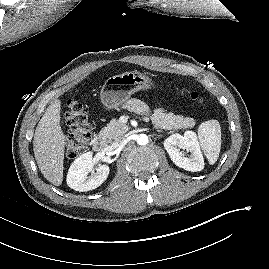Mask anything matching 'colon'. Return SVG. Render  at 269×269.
Masks as SVG:
<instances>
[{"instance_id": "1", "label": "colon", "mask_w": 269, "mask_h": 269, "mask_svg": "<svg viewBox=\"0 0 269 269\" xmlns=\"http://www.w3.org/2000/svg\"><path fill=\"white\" fill-rule=\"evenodd\" d=\"M194 102L202 103V98L195 91L188 93ZM65 122L69 128L66 138V155L75 158L87 147L92 134V123L88 109L76 100H69L64 114Z\"/></svg>"}]
</instances>
